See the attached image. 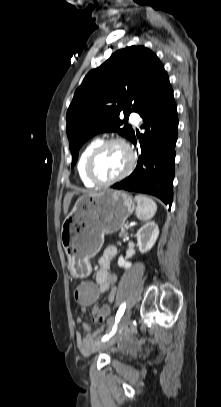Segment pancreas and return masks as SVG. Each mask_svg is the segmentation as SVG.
I'll return each instance as SVG.
<instances>
[{"instance_id": "cf45deb5", "label": "pancreas", "mask_w": 221, "mask_h": 407, "mask_svg": "<svg viewBox=\"0 0 221 407\" xmlns=\"http://www.w3.org/2000/svg\"><path fill=\"white\" fill-rule=\"evenodd\" d=\"M126 236H127L126 230H125V229H122L121 232L119 233V237H120V238H124V237H126Z\"/></svg>"}]
</instances>
